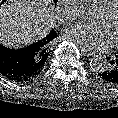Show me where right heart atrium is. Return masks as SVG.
<instances>
[{
    "mask_svg": "<svg viewBox=\"0 0 118 118\" xmlns=\"http://www.w3.org/2000/svg\"><path fill=\"white\" fill-rule=\"evenodd\" d=\"M61 6L58 8L56 18L60 23H67L75 19L76 15L73 9L78 0H60Z\"/></svg>",
    "mask_w": 118,
    "mask_h": 118,
    "instance_id": "1",
    "label": "right heart atrium"
}]
</instances>
